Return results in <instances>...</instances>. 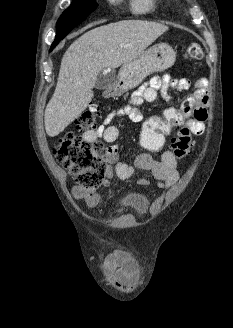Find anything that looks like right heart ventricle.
I'll list each match as a JSON object with an SVG mask.
<instances>
[{"label": "right heart ventricle", "mask_w": 233, "mask_h": 328, "mask_svg": "<svg viewBox=\"0 0 233 328\" xmlns=\"http://www.w3.org/2000/svg\"><path fill=\"white\" fill-rule=\"evenodd\" d=\"M132 9L136 13H145L154 7L155 0H132Z\"/></svg>", "instance_id": "1"}]
</instances>
